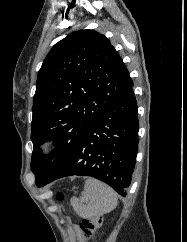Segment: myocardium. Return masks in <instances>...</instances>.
Wrapping results in <instances>:
<instances>
[{
    "label": "myocardium",
    "instance_id": "myocardium-1",
    "mask_svg": "<svg viewBox=\"0 0 187 242\" xmlns=\"http://www.w3.org/2000/svg\"><path fill=\"white\" fill-rule=\"evenodd\" d=\"M45 149H46V150H49V149H50V146H46Z\"/></svg>",
    "mask_w": 187,
    "mask_h": 242
}]
</instances>
